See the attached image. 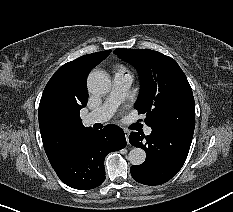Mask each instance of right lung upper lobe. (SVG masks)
<instances>
[{
  "label": "right lung upper lobe",
  "instance_id": "right-lung-upper-lobe-1",
  "mask_svg": "<svg viewBox=\"0 0 233 212\" xmlns=\"http://www.w3.org/2000/svg\"><path fill=\"white\" fill-rule=\"evenodd\" d=\"M111 50L81 56L61 66L47 83L39 104V127L51 165L61 161L86 130L80 110L86 106L89 72Z\"/></svg>",
  "mask_w": 233,
  "mask_h": 212
}]
</instances>
